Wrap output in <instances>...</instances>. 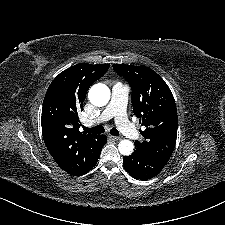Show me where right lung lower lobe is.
<instances>
[{
	"label": "right lung lower lobe",
	"mask_w": 225,
	"mask_h": 225,
	"mask_svg": "<svg viewBox=\"0 0 225 225\" xmlns=\"http://www.w3.org/2000/svg\"><path fill=\"white\" fill-rule=\"evenodd\" d=\"M102 138H103V140H104V144H106V142H107V137L105 136V135H102ZM97 163V162H96ZM95 163V164H96ZM95 166V165H94Z\"/></svg>",
	"instance_id": "right-lung-lower-lobe-1"
}]
</instances>
